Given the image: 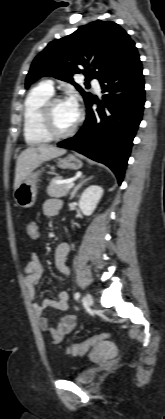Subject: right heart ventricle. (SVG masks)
Wrapping results in <instances>:
<instances>
[{
    "instance_id": "1",
    "label": "right heart ventricle",
    "mask_w": 165,
    "mask_h": 419,
    "mask_svg": "<svg viewBox=\"0 0 165 419\" xmlns=\"http://www.w3.org/2000/svg\"><path fill=\"white\" fill-rule=\"evenodd\" d=\"M52 95L53 90L42 83L33 87L24 100L23 134L28 144L38 145L51 141V138L42 128L40 109L42 104Z\"/></svg>"
}]
</instances>
